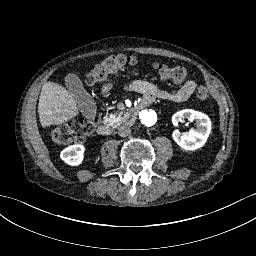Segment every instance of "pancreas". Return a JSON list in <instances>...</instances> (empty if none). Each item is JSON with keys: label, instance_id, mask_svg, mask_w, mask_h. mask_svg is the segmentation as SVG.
Wrapping results in <instances>:
<instances>
[{"label": "pancreas", "instance_id": "pancreas-1", "mask_svg": "<svg viewBox=\"0 0 256 256\" xmlns=\"http://www.w3.org/2000/svg\"><path fill=\"white\" fill-rule=\"evenodd\" d=\"M124 105H119V112L114 111L108 115V123L111 125L120 126L122 123L133 125L137 119L138 112L127 111L123 112Z\"/></svg>", "mask_w": 256, "mask_h": 256}]
</instances>
